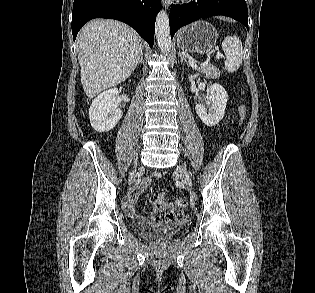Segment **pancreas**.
<instances>
[{
	"label": "pancreas",
	"mask_w": 315,
	"mask_h": 293,
	"mask_svg": "<svg viewBox=\"0 0 315 293\" xmlns=\"http://www.w3.org/2000/svg\"><path fill=\"white\" fill-rule=\"evenodd\" d=\"M197 71L205 74L207 78H219L221 72L213 65H205L197 68Z\"/></svg>",
	"instance_id": "obj_1"
}]
</instances>
